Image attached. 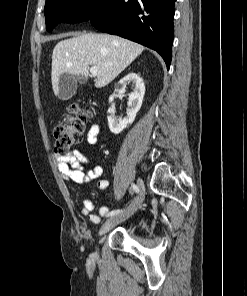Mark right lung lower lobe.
Masks as SVG:
<instances>
[{
    "mask_svg": "<svg viewBox=\"0 0 247 296\" xmlns=\"http://www.w3.org/2000/svg\"><path fill=\"white\" fill-rule=\"evenodd\" d=\"M176 0H110L90 18L102 32L118 35L157 51L169 69L174 37Z\"/></svg>",
    "mask_w": 247,
    "mask_h": 296,
    "instance_id": "obj_1",
    "label": "right lung lower lobe"
}]
</instances>
